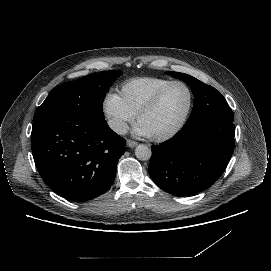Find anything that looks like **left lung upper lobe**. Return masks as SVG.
Listing matches in <instances>:
<instances>
[{
  "mask_svg": "<svg viewBox=\"0 0 271 271\" xmlns=\"http://www.w3.org/2000/svg\"><path fill=\"white\" fill-rule=\"evenodd\" d=\"M168 74L172 77L182 79L191 85V90L194 95V105L189 121L186 124L206 117L233 118L232 111L226 100L215 88L202 83L188 74L179 72H168Z\"/></svg>",
  "mask_w": 271,
  "mask_h": 271,
  "instance_id": "1",
  "label": "left lung upper lobe"
}]
</instances>
